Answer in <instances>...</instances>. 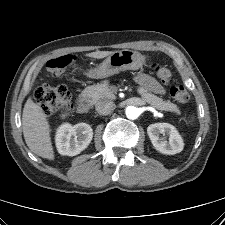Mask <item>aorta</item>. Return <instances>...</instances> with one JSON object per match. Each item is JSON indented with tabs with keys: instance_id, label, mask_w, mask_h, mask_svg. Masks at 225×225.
<instances>
[{
	"instance_id": "762f6f07",
	"label": "aorta",
	"mask_w": 225,
	"mask_h": 225,
	"mask_svg": "<svg viewBox=\"0 0 225 225\" xmlns=\"http://www.w3.org/2000/svg\"><path fill=\"white\" fill-rule=\"evenodd\" d=\"M125 113L127 118L131 120L137 119L140 115L139 109L135 106H128Z\"/></svg>"
}]
</instances>
